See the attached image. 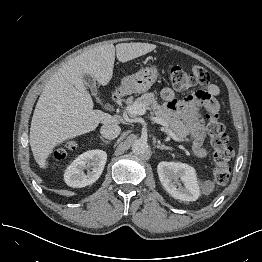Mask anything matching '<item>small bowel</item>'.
<instances>
[{"instance_id": "small-bowel-1", "label": "small bowel", "mask_w": 262, "mask_h": 262, "mask_svg": "<svg viewBox=\"0 0 262 262\" xmlns=\"http://www.w3.org/2000/svg\"><path fill=\"white\" fill-rule=\"evenodd\" d=\"M199 69L198 66L192 67L194 73H197ZM202 82L205 84V90L190 95L183 101L177 100L174 91L168 87L162 90L161 97L165 105L172 110L174 116L184 121L190 132L189 139L196 148L198 155L205 157L207 152L202 148L204 125L199 115V109L218 111L219 106L216 96L219 94L220 89L216 84L211 83L208 78L202 80Z\"/></svg>"}]
</instances>
